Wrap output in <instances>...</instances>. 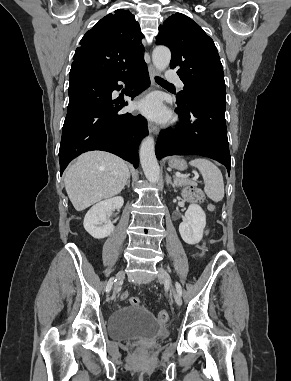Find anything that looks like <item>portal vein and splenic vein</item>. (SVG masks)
<instances>
[{
  "mask_svg": "<svg viewBox=\"0 0 291 381\" xmlns=\"http://www.w3.org/2000/svg\"><path fill=\"white\" fill-rule=\"evenodd\" d=\"M175 177H177V178H187L188 176L184 175V174L176 173ZM196 179H198V175H195L194 178H193V180H196Z\"/></svg>",
  "mask_w": 291,
  "mask_h": 381,
  "instance_id": "1",
  "label": "portal vein and splenic vein"
}]
</instances>
